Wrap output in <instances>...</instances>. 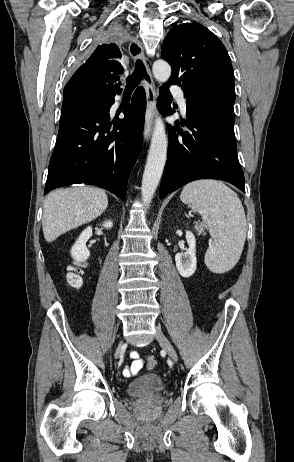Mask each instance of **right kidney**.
<instances>
[{
	"label": "right kidney",
	"instance_id": "right-kidney-1",
	"mask_svg": "<svg viewBox=\"0 0 294 462\" xmlns=\"http://www.w3.org/2000/svg\"><path fill=\"white\" fill-rule=\"evenodd\" d=\"M102 226L106 229H110L113 226V222L111 220L105 221ZM92 236V228L87 227L85 230L82 231L79 238L76 240L75 244L71 248V256L76 262H84L86 261L89 256L90 252L86 247V242Z\"/></svg>",
	"mask_w": 294,
	"mask_h": 462
}]
</instances>
